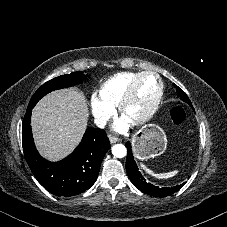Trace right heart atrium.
<instances>
[{
	"label": "right heart atrium",
	"instance_id": "d8ad5b80",
	"mask_svg": "<svg viewBox=\"0 0 227 227\" xmlns=\"http://www.w3.org/2000/svg\"><path fill=\"white\" fill-rule=\"evenodd\" d=\"M91 113L96 123L103 124L113 115V107L93 98L91 101Z\"/></svg>",
	"mask_w": 227,
	"mask_h": 227
}]
</instances>
